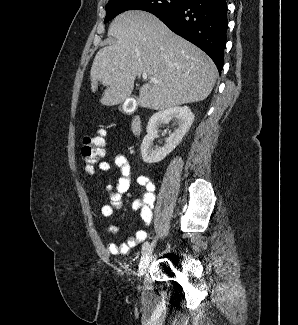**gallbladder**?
Masks as SVG:
<instances>
[{
    "mask_svg": "<svg viewBox=\"0 0 298 325\" xmlns=\"http://www.w3.org/2000/svg\"><path fill=\"white\" fill-rule=\"evenodd\" d=\"M119 110H123V106H122V104H120V106H119Z\"/></svg>",
    "mask_w": 298,
    "mask_h": 325,
    "instance_id": "1",
    "label": "gallbladder"
}]
</instances>
